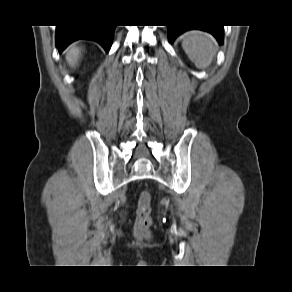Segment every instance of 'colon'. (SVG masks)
Segmentation results:
<instances>
[{
	"instance_id": "obj_1",
	"label": "colon",
	"mask_w": 292,
	"mask_h": 292,
	"mask_svg": "<svg viewBox=\"0 0 292 292\" xmlns=\"http://www.w3.org/2000/svg\"><path fill=\"white\" fill-rule=\"evenodd\" d=\"M151 211V194L148 191H142L138 199L134 224V234L136 237L147 238L150 236L152 226Z\"/></svg>"
}]
</instances>
